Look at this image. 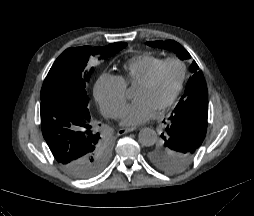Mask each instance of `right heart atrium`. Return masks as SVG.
Instances as JSON below:
<instances>
[{
	"label": "right heart atrium",
	"mask_w": 254,
	"mask_h": 216,
	"mask_svg": "<svg viewBox=\"0 0 254 216\" xmlns=\"http://www.w3.org/2000/svg\"><path fill=\"white\" fill-rule=\"evenodd\" d=\"M94 96L105 116L117 118L126 103V86L119 76L104 73L95 83Z\"/></svg>",
	"instance_id": "1"
}]
</instances>
